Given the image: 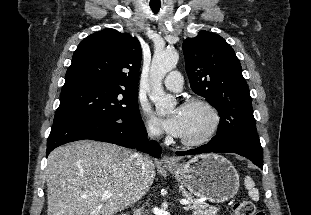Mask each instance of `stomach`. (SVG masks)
<instances>
[{"label":"stomach","instance_id":"1","mask_svg":"<svg viewBox=\"0 0 311 215\" xmlns=\"http://www.w3.org/2000/svg\"><path fill=\"white\" fill-rule=\"evenodd\" d=\"M193 195L210 202L232 199L239 189V175L232 163L218 154L199 155L176 167H167Z\"/></svg>","mask_w":311,"mask_h":215}]
</instances>
